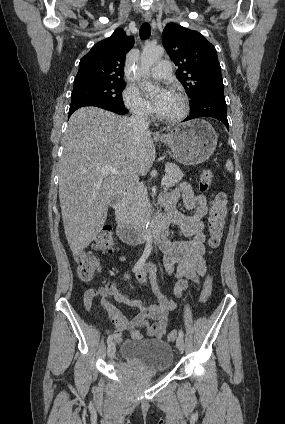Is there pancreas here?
Returning <instances> with one entry per match:
<instances>
[{"instance_id":"cf45deb5","label":"pancreas","mask_w":285,"mask_h":424,"mask_svg":"<svg viewBox=\"0 0 285 424\" xmlns=\"http://www.w3.org/2000/svg\"><path fill=\"white\" fill-rule=\"evenodd\" d=\"M165 176L167 179L165 188H170L181 181L183 173L177 165L169 163L166 166ZM149 206L147 192L142 189L134 188L129 190L123 198L121 213L126 221L137 225L148 213Z\"/></svg>"}]
</instances>
